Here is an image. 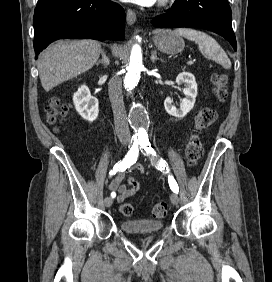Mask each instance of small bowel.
I'll use <instances>...</instances> for the list:
<instances>
[{
    "mask_svg": "<svg viewBox=\"0 0 272 282\" xmlns=\"http://www.w3.org/2000/svg\"><path fill=\"white\" fill-rule=\"evenodd\" d=\"M134 168L138 171H142L143 167L140 163H135ZM124 174L119 173L116 178L108 185V189L113 192H118L117 201L122 203L127 197L135 194L140 189V182L136 179L135 182L124 185L123 182Z\"/></svg>",
    "mask_w": 272,
    "mask_h": 282,
    "instance_id": "c3829d8e",
    "label": "small bowel"
}]
</instances>
